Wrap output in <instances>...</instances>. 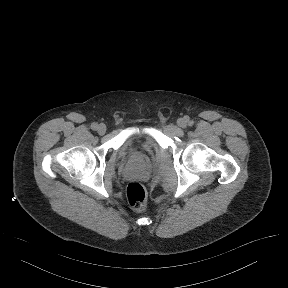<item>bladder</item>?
<instances>
[{
  "label": "bladder",
  "mask_w": 288,
  "mask_h": 288,
  "mask_svg": "<svg viewBox=\"0 0 288 288\" xmlns=\"http://www.w3.org/2000/svg\"><path fill=\"white\" fill-rule=\"evenodd\" d=\"M159 148L156 137L148 132H137L128 135L119 148L120 156L134 157L140 153L154 155Z\"/></svg>",
  "instance_id": "1"
}]
</instances>
